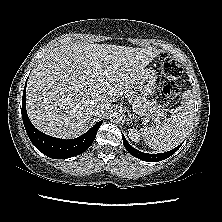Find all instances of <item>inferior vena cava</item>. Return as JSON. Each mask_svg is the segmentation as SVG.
<instances>
[{"label":"inferior vena cava","instance_id":"obj_1","mask_svg":"<svg viewBox=\"0 0 222 222\" xmlns=\"http://www.w3.org/2000/svg\"><path fill=\"white\" fill-rule=\"evenodd\" d=\"M106 106L104 105H97V106H94V108H92L90 110V114L93 115V116H98L102 113H104L106 111Z\"/></svg>","mask_w":222,"mask_h":222}]
</instances>
